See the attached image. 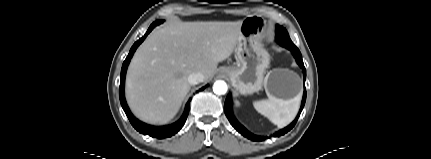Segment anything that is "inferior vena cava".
<instances>
[{"mask_svg":"<svg viewBox=\"0 0 431 159\" xmlns=\"http://www.w3.org/2000/svg\"><path fill=\"white\" fill-rule=\"evenodd\" d=\"M204 81V75L201 72H193L188 76V82L191 85H196Z\"/></svg>","mask_w":431,"mask_h":159,"instance_id":"inferior-vena-cava-1","label":"inferior vena cava"}]
</instances>
